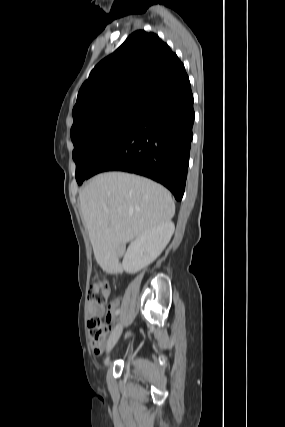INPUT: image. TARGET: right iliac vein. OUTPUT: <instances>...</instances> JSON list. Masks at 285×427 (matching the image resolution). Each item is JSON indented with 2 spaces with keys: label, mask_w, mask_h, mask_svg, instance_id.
I'll use <instances>...</instances> for the list:
<instances>
[{
  "label": "right iliac vein",
  "mask_w": 285,
  "mask_h": 427,
  "mask_svg": "<svg viewBox=\"0 0 285 427\" xmlns=\"http://www.w3.org/2000/svg\"><path fill=\"white\" fill-rule=\"evenodd\" d=\"M122 325L121 324H117L115 326V328L113 329L109 341H108V346H107V351L109 352L117 343V341L119 340L121 334H122Z\"/></svg>",
  "instance_id": "1"
}]
</instances>
